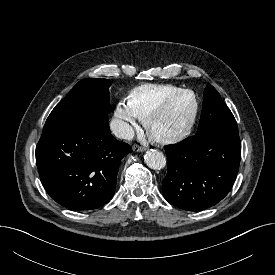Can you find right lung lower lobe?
<instances>
[{
    "mask_svg": "<svg viewBox=\"0 0 275 275\" xmlns=\"http://www.w3.org/2000/svg\"><path fill=\"white\" fill-rule=\"evenodd\" d=\"M129 152L111 135L104 115L86 125L44 130L36 164L53 200L70 210H92L112 199L119 163Z\"/></svg>",
    "mask_w": 275,
    "mask_h": 275,
    "instance_id": "right-lung-lower-lobe-1",
    "label": "right lung lower lobe"
}]
</instances>
